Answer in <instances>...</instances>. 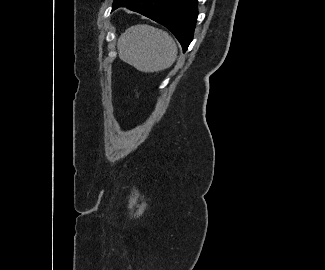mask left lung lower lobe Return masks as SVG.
Segmentation results:
<instances>
[{
    "label": "left lung lower lobe",
    "instance_id": "0a47b994",
    "mask_svg": "<svg viewBox=\"0 0 325 270\" xmlns=\"http://www.w3.org/2000/svg\"><path fill=\"white\" fill-rule=\"evenodd\" d=\"M127 7L167 27L185 52L193 39L197 0H120L114 6Z\"/></svg>",
    "mask_w": 325,
    "mask_h": 270
}]
</instances>
